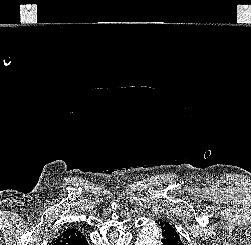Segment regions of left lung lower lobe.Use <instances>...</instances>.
Instances as JSON below:
<instances>
[{"instance_id":"left-lung-lower-lobe-1","label":"left lung lower lobe","mask_w":251,"mask_h":245,"mask_svg":"<svg viewBox=\"0 0 251 245\" xmlns=\"http://www.w3.org/2000/svg\"><path fill=\"white\" fill-rule=\"evenodd\" d=\"M160 229V244L162 245H183L179 234L175 228L166 221H160L157 223Z\"/></svg>"}]
</instances>
